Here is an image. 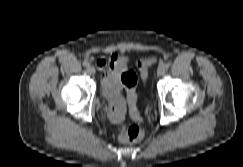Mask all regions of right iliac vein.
I'll return each mask as SVG.
<instances>
[{"label": "right iliac vein", "mask_w": 243, "mask_h": 167, "mask_svg": "<svg viewBox=\"0 0 243 167\" xmlns=\"http://www.w3.org/2000/svg\"><path fill=\"white\" fill-rule=\"evenodd\" d=\"M87 71L89 74H92V75L95 74V68L93 66H88Z\"/></svg>", "instance_id": "1"}]
</instances>
